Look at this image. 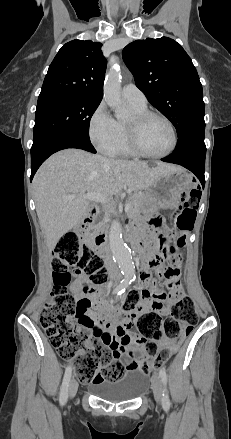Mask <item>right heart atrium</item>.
Returning <instances> with one entry per match:
<instances>
[{"label": "right heart atrium", "mask_w": 231, "mask_h": 439, "mask_svg": "<svg viewBox=\"0 0 231 439\" xmlns=\"http://www.w3.org/2000/svg\"><path fill=\"white\" fill-rule=\"evenodd\" d=\"M88 135L95 148L102 152L111 149L117 141L118 132L116 121L111 116L103 101L95 107L90 115Z\"/></svg>", "instance_id": "d8ad5b80"}]
</instances>
